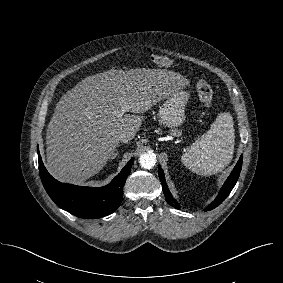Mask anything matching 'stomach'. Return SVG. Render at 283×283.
<instances>
[{
    "label": "stomach",
    "instance_id": "1",
    "mask_svg": "<svg viewBox=\"0 0 283 283\" xmlns=\"http://www.w3.org/2000/svg\"><path fill=\"white\" fill-rule=\"evenodd\" d=\"M189 93L182 88L172 92L159 110L160 123L169 129V133L178 137L181 135L179 126L185 121V106Z\"/></svg>",
    "mask_w": 283,
    "mask_h": 283
}]
</instances>
